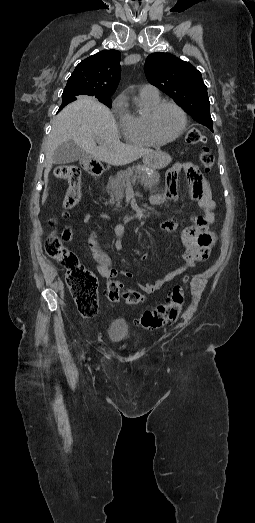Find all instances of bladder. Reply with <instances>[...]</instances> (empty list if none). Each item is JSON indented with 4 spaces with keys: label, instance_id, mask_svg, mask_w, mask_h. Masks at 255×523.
Returning <instances> with one entry per match:
<instances>
[{
    "label": "bladder",
    "instance_id": "31cf9c89",
    "mask_svg": "<svg viewBox=\"0 0 255 523\" xmlns=\"http://www.w3.org/2000/svg\"><path fill=\"white\" fill-rule=\"evenodd\" d=\"M129 332V326L124 319L114 318L109 326V337L113 340L124 339Z\"/></svg>",
    "mask_w": 255,
    "mask_h": 523
}]
</instances>
